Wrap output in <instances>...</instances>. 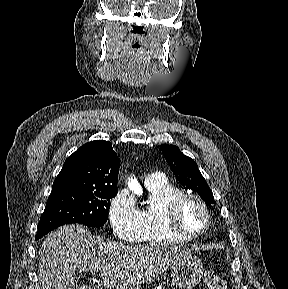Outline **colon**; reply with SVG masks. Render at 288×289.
I'll return each mask as SVG.
<instances>
[{
  "mask_svg": "<svg viewBox=\"0 0 288 289\" xmlns=\"http://www.w3.org/2000/svg\"><path fill=\"white\" fill-rule=\"evenodd\" d=\"M206 289H226L225 280L214 271H207L204 276Z\"/></svg>",
  "mask_w": 288,
  "mask_h": 289,
  "instance_id": "1",
  "label": "colon"
}]
</instances>
